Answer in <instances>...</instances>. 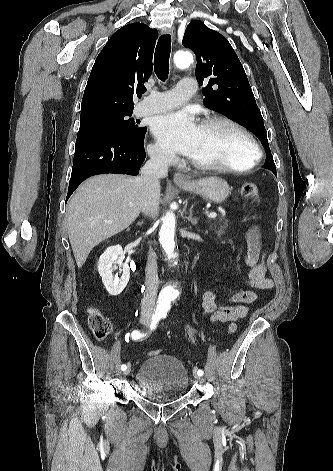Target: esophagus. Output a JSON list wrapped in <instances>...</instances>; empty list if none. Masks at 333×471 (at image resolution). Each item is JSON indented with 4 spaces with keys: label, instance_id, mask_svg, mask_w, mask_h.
I'll return each instance as SVG.
<instances>
[{
    "label": "esophagus",
    "instance_id": "esophagus-1",
    "mask_svg": "<svg viewBox=\"0 0 333 471\" xmlns=\"http://www.w3.org/2000/svg\"><path fill=\"white\" fill-rule=\"evenodd\" d=\"M168 33L171 35L172 40L174 41L175 38H176L175 28L170 27L168 29ZM173 179H174L175 182H178V183H187V182H189V179L182 173H175L174 176H173Z\"/></svg>",
    "mask_w": 333,
    "mask_h": 471
}]
</instances>
